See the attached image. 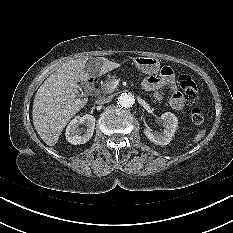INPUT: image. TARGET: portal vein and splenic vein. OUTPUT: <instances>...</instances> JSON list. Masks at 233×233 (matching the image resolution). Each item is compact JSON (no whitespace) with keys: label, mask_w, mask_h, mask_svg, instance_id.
Here are the masks:
<instances>
[{"label":"portal vein and splenic vein","mask_w":233,"mask_h":233,"mask_svg":"<svg viewBox=\"0 0 233 233\" xmlns=\"http://www.w3.org/2000/svg\"><path fill=\"white\" fill-rule=\"evenodd\" d=\"M116 85H117V81H114V82H113V88H115Z\"/></svg>","instance_id":"obj_1"}]
</instances>
